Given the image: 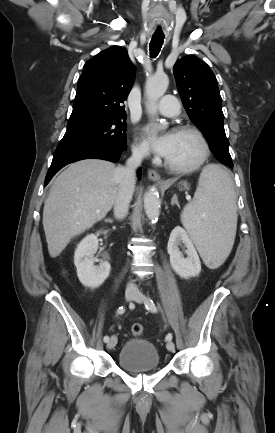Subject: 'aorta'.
Returning a JSON list of instances; mask_svg holds the SVG:
<instances>
[{
	"instance_id": "1",
	"label": "aorta",
	"mask_w": 275,
	"mask_h": 433,
	"mask_svg": "<svg viewBox=\"0 0 275 433\" xmlns=\"http://www.w3.org/2000/svg\"><path fill=\"white\" fill-rule=\"evenodd\" d=\"M168 87V78L165 75H154L147 79L145 93L147 97V108L151 115L156 114V103L164 95ZM166 124L160 125L165 129ZM161 201L155 188H150L144 196V210L150 221H156L160 214Z\"/></svg>"
}]
</instances>
